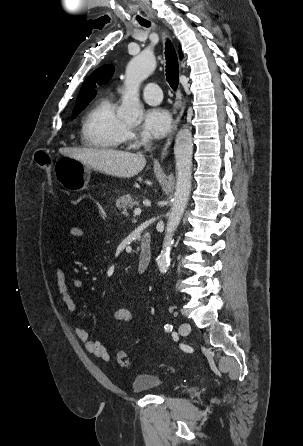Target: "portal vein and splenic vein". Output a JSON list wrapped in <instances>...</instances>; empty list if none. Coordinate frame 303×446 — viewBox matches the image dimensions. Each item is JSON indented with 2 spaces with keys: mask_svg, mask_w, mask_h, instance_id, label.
Segmentation results:
<instances>
[{
  "mask_svg": "<svg viewBox=\"0 0 303 446\" xmlns=\"http://www.w3.org/2000/svg\"><path fill=\"white\" fill-rule=\"evenodd\" d=\"M134 214H135V215H140V214H141V209H140V208H136V209L134 210Z\"/></svg>",
  "mask_w": 303,
  "mask_h": 446,
  "instance_id": "18ae733b",
  "label": "portal vein and splenic vein"
}]
</instances>
